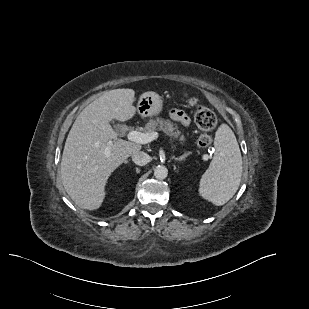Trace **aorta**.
Returning <instances> with one entry per match:
<instances>
[{"label": "aorta", "mask_w": 309, "mask_h": 309, "mask_svg": "<svg viewBox=\"0 0 309 309\" xmlns=\"http://www.w3.org/2000/svg\"><path fill=\"white\" fill-rule=\"evenodd\" d=\"M168 175V169L164 165H158L154 169V176L156 179L163 180Z\"/></svg>", "instance_id": "762f6f07"}]
</instances>
